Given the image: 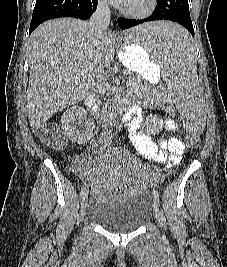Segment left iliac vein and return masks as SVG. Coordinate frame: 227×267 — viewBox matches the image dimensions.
Listing matches in <instances>:
<instances>
[{
	"label": "left iliac vein",
	"mask_w": 227,
	"mask_h": 267,
	"mask_svg": "<svg viewBox=\"0 0 227 267\" xmlns=\"http://www.w3.org/2000/svg\"><path fill=\"white\" fill-rule=\"evenodd\" d=\"M153 214H154L155 218L158 221H160V219H161L160 208H159V204L156 201L153 202Z\"/></svg>",
	"instance_id": "1"
}]
</instances>
